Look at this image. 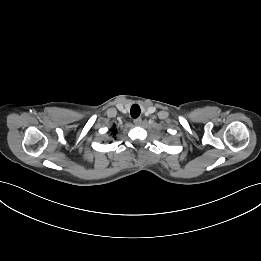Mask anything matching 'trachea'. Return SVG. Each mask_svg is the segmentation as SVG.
<instances>
[{
    "label": "trachea",
    "instance_id": "trachea-1",
    "mask_svg": "<svg viewBox=\"0 0 261 261\" xmlns=\"http://www.w3.org/2000/svg\"><path fill=\"white\" fill-rule=\"evenodd\" d=\"M140 107L137 104H133L130 110V114L132 116V118H137L140 115Z\"/></svg>",
    "mask_w": 261,
    "mask_h": 261
}]
</instances>
